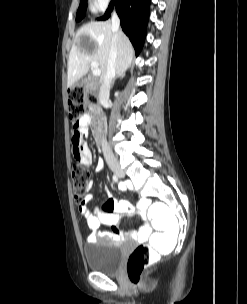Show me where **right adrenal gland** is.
Returning <instances> with one entry per match:
<instances>
[{
  "mask_svg": "<svg viewBox=\"0 0 247 304\" xmlns=\"http://www.w3.org/2000/svg\"><path fill=\"white\" fill-rule=\"evenodd\" d=\"M124 77V74H118L114 79H113V81H112V84H111V86H113L114 85V82H115V80L117 79V78H123Z\"/></svg>",
  "mask_w": 247,
  "mask_h": 304,
  "instance_id": "1",
  "label": "right adrenal gland"
}]
</instances>
